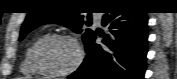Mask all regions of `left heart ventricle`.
Returning <instances> with one entry per match:
<instances>
[{
    "instance_id": "left-heart-ventricle-1",
    "label": "left heart ventricle",
    "mask_w": 177,
    "mask_h": 79,
    "mask_svg": "<svg viewBox=\"0 0 177 79\" xmlns=\"http://www.w3.org/2000/svg\"><path fill=\"white\" fill-rule=\"evenodd\" d=\"M76 58V47L67 40H50L42 45L38 51L39 62L51 71H62L69 68Z\"/></svg>"
}]
</instances>
